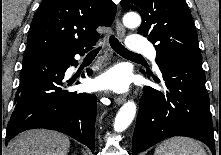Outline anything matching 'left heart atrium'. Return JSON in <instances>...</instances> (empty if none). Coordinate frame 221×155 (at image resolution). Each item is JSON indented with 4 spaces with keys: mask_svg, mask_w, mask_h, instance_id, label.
Masks as SVG:
<instances>
[{
    "mask_svg": "<svg viewBox=\"0 0 221 155\" xmlns=\"http://www.w3.org/2000/svg\"><path fill=\"white\" fill-rule=\"evenodd\" d=\"M130 77L122 67H114L100 75L95 80L98 89H108L115 92L126 91L129 87Z\"/></svg>",
    "mask_w": 221,
    "mask_h": 155,
    "instance_id": "left-heart-atrium-1",
    "label": "left heart atrium"
}]
</instances>
